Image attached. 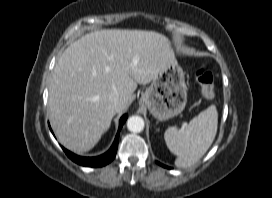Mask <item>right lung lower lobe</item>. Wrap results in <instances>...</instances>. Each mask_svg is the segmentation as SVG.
<instances>
[{
	"instance_id": "right-lung-lower-lobe-1",
	"label": "right lung lower lobe",
	"mask_w": 272,
	"mask_h": 198,
	"mask_svg": "<svg viewBox=\"0 0 272 198\" xmlns=\"http://www.w3.org/2000/svg\"><path fill=\"white\" fill-rule=\"evenodd\" d=\"M127 117L128 116L126 114L121 117L120 122H119V130H118V133H117L116 138L114 140V143L111 146V148L109 149V151L106 152L105 154L98 156V157H80V156H77V155L71 153L70 151L66 150L65 148H63L64 152L72 161L76 162L79 165H83V166L101 167V166H104V165L110 163L116 155L117 146H118V139H119V131H120L121 127L123 126L124 122L126 121Z\"/></svg>"
}]
</instances>
